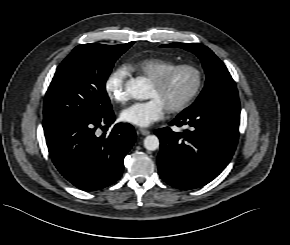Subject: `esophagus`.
Listing matches in <instances>:
<instances>
[{
  "label": "esophagus",
  "mask_w": 290,
  "mask_h": 245,
  "mask_svg": "<svg viewBox=\"0 0 290 245\" xmlns=\"http://www.w3.org/2000/svg\"><path fill=\"white\" fill-rule=\"evenodd\" d=\"M139 132L143 135V136H147L150 134V131L145 129V128H139Z\"/></svg>",
  "instance_id": "1"
}]
</instances>
